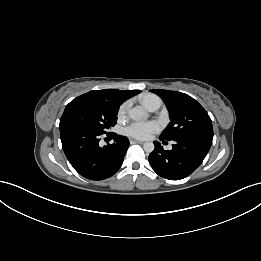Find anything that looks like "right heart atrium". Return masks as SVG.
<instances>
[{
	"label": "right heart atrium",
	"instance_id": "1",
	"mask_svg": "<svg viewBox=\"0 0 261 261\" xmlns=\"http://www.w3.org/2000/svg\"><path fill=\"white\" fill-rule=\"evenodd\" d=\"M127 108H128V103H127V102L123 103V104L119 107L118 116H119V117L124 116L125 113H126V111H127Z\"/></svg>",
	"mask_w": 261,
	"mask_h": 261
}]
</instances>
